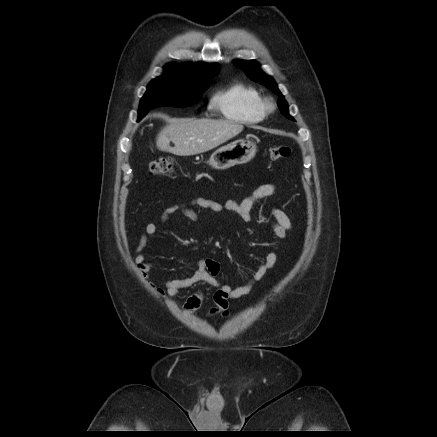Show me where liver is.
<instances>
[{
  "label": "liver",
  "instance_id": "liver-1",
  "mask_svg": "<svg viewBox=\"0 0 437 437\" xmlns=\"http://www.w3.org/2000/svg\"><path fill=\"white\" fill-rule=\"evenodd\" d=\"M243 129L242 124L229 120L174 119L159 132L156 146L160 151L178 156L196 155L227 142Z\"/></svg>",
  "mask_w": 437,
  "mask_h": 437
}]
</instances>
